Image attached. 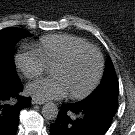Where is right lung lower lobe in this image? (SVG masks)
Instances as JSON below:
<instances>
[{
	"instance_id": "98d812e1",
	"label": "right lung lower lobe",
	"mask_w": 135,
	"mask_h": 135,
	"mask_svg": "<svg viewBox=\"0 0 135 135\" xmlns=\"http://www.w3.org/2000/svg\"><path fill=\"white\" fill-rule=\"evenodd\" d=\"M22 83L16 81L10 85H0V135H15L19 112L31 106L30 97H21Z\"/></svg>"
}]
</instances>
